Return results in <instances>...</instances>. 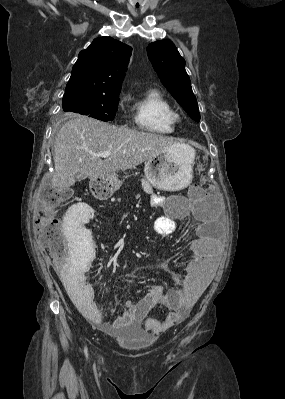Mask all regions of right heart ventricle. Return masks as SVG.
Listing matches in <instances>:
<instances>
[{
    "label": "right heart ventricle",
    "instance_id": "1",
    "mask_svg": "<svg viewBox=\"0 0 285 399\" xmlns=\"http://www.w3.org/2000/svg\"><path fill=\"white\" fill-rule=\"evenodd\" d=\"M136 126L143 131L169 134L174 131L173 109L168 99L157 89H150L133 104Z\"/></svg>",
    "mask_w": 285,
    "mask_h": 399
}]
</instances>
